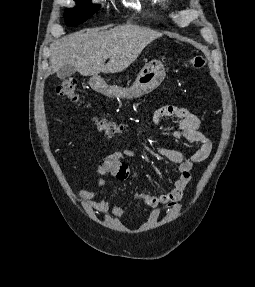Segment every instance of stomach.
Masks as SVG:
<instances>
[{"mask_svg":"<svg viewBox=\"0 0 255 287\" xmlns=\"http://www.w3.org/2000/svg\"><path fill=\"white\" fill-rule=\"evenodd\" d=\"M164 78L165 72L163 68H160V70H153V72H147V74L141 72L138 78H136V82H134L130 88L108 86L100 76L90 78L89 84L95 92L104 94V96H108V98H127V100H132V98H141L144 94H149V92L158 88Z\"/></svg>","mask_w":255,"mask_h":287,"instance_id":"obj_1","label":"stomach"}]
</instances>
